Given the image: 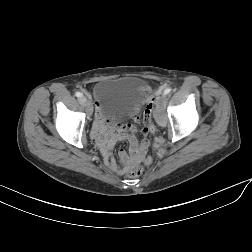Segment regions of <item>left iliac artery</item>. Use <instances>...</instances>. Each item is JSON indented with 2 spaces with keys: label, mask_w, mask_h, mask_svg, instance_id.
I'll return each instance as SVG.
<instances>
[{
  "label": "left iliac artery",
  "mask_w": 252,
  "mask_h": 252,
  "mask_svg": "<svg viewBox=\"0 0 252 252\" xmlns=\"http://www.w3.org/2000/svg\"><path fill=\"white\" fill-rule=\"evenodd\" d=\"M170 92H171V88H166V89L164 90L163 95H167V94H169Z\"/></svg>",
  "instance_id": "1"
}]
</instances>
